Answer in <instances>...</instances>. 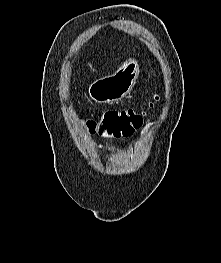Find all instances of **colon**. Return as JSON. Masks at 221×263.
Listing matches in <instances>:
<instances>
[{
    "label": "colon",
    "instance_id": "colon-1",
    "mask_svg": "<svg viewBox=\"0 0 221 263\" xmlns=\"http://www.w3.org/2000/svg\"><path fill=\"white\" fill-rule=\"evenodd\" d=\"M149 106H153V102ZM143 116V111L133 108L108 110L100 120H86L85 127L91 135L99 133L108 137H125L141 126Z\"/></svg>",
    "mask_w": 221,
    "mask_h": 263
}]
</instances>
